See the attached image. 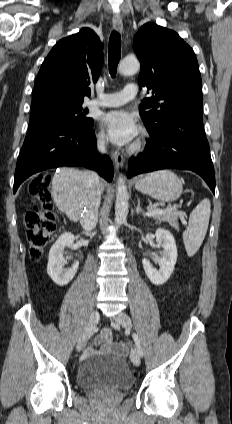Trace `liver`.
<instances>
[{
    "label": "liver",
    "mask_w": 232,
    "mask_h": 424,
    "mask_svg": "<svg viewBox=\"0 0 232 424\" xmlns=\"http://www.w3.org/2000/svg\"><path fill=\"white\" fill-rule=\"evenodd\" d=\"M87 172L61 168L53 177L52 197L58 209L72 221H79L91 189ZM103 185L100 184V188Z\"/></svg>",
    "instance_id": "obj_1"
}]
</instances>
